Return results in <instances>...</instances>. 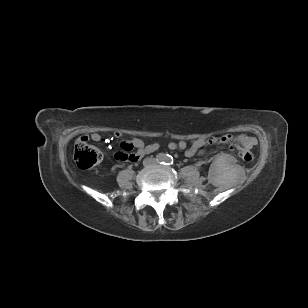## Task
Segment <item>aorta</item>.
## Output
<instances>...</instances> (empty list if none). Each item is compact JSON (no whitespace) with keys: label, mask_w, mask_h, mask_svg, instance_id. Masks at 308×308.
<instances>
[{"label":"aorta","mask_w":308,"mask_h":308,"mask_svg":"<svg viewBox=\"0 0 308 308\" xmlns=\"http://www.w3.org/2000/svg\"><path fill=\"white\" fill-rule=\"evenodd\" d=\"M172 160H173L172 157H167V158L165 159L166 162H172Z\"/></svg>","instance_id":"aorta-1"}]
</instances>
